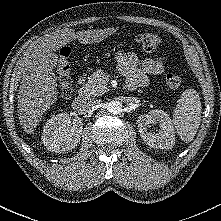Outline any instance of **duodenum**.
<instances>
[{
  "mask_svg": "<svg viewBox=\"0 0 221 221\" xmlns=\"http://www.w3.org/2000/svg\"><path fill=\"white\" fill-rule=\"evenodd\" d=\"M84 79L81 78L80 79V84H83ZM86 103V95L84 93H80L77 98L75 99V101L72 104L73 109L75 110H81L84 108Z\"/></svg>",
  "mask_w": 221,
  "mask_h": 221,
  "instance_id": "410a0bca",
  "label": "duodenum"
}]
</instances>
